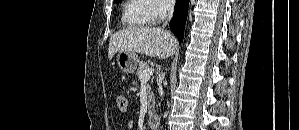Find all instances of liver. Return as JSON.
I'll list each match as a JSON object with an SVG mask.
<instances>
[{"instance_id": "liver-1", "label": "liver", "mask_w": 299, "mask_h": 130, "mask_svg": "<svg viewBox=\"0 0 299 130\" xmlns=\"http://www.w3.org/2000/svg\"><path fill=\"white\" fill-rule=\"evenodd\" d=\"M176 48V39L162 28L128 27L111 36L108 58L111 60L116 52L128 51L166 59L175 53Z\"/></svg>"}]
</instances>
